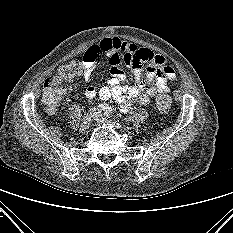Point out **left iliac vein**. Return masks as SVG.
I'll use <instances>...</instances> for the list:
<instances>
[{
  "mask_svg": "<svg viewBox=\"0 0 233 233\" xmlns=\"http://www.w3.org/2000/svg\"><path fill=\"white\" fill-rule=\"evenodd\" d=\"M94 120L99 124L110 125L111 127L115 129H121L119 125H116L112 123L110 120H107L106 118H104L100 112L96 114V116L94 117Z\"/></svg>",
  "mask_w": 233,
  "mask_h": 233,
  "instance_id": "4c4485c4",
  "label": "left iliac vein"
}]
</instances>
